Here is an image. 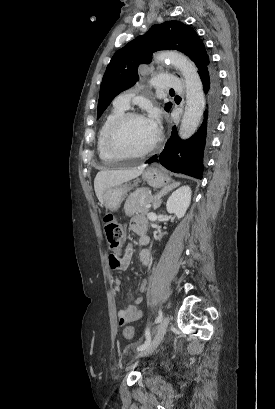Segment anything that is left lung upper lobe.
I'll use <instances>...</instances> for the list:
<instances>
[{
  "label": "left lung upper lobe",
  "instance_id": "obj_1",
  "mask_svg": "<svg viewBox=\"0 0 275 409\" xmlns=\"http://www.w3.org/2000/svg\"><path fill=\"white\" fill-rule=\"evenodd\" d=\"M175 49L183 52L202 71L209 64V57L202 40L190 26L179 21L153 25L144 35L138 36L117 51L107 66L100 86L97 117L123 90L138 81V67L149 63L152 53ZM172 103L165 104L169 111Z\"/></svg>",
  "mask_w": 275,
  "mask_h": 409
}]
</instances>
